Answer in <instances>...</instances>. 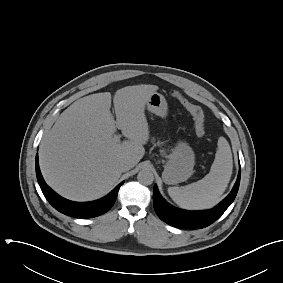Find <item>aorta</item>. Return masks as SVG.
<instances>
[{"instance_id": "aorta-1", "label": "aorta", "mask_w": 283, "mask_h": 283, "mask_svg": "<svg viewBox=\"0 0 283 283\" xmlns=\"http://www.w3.org/2000/svg\"><path fill=\"white\" fill-rule=\"evenodd\" d=\"M138 181L143 185H151L154 181V175L149 169H142L137 175Z\"/></svg>"}]
</instances>
